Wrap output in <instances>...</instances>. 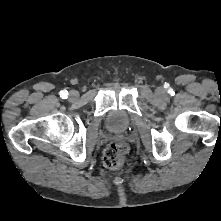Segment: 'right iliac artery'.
<instances>
[{"label":"right iliac artery","mask_w":221,"mask_h":221,"mask_svg":"<svg viewBox=\"0 0 221 221\" xmlns=\"http://www.w3.org/2000/svg\"><path fill=\"white\" fill-rule=\"evenodd\" d=\"M67 95H68V92L63 90L60 92V96L63 98V99H66L67 98Z\"/></svg>","instance_id":"1"}]
</instances>
